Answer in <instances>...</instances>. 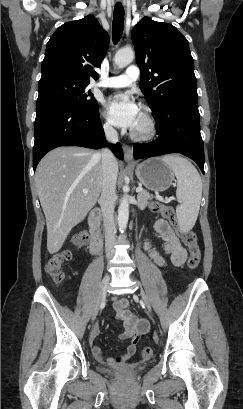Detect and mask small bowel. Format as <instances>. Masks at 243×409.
<instances>
[{"instance_id":"1","label":"small bowel","mask_w":243,"mask_h":409,"mask_svg":"<svg viewBox=\"0 0 243 409\" xmlns=\"http://www.w3.org/2000/svg\"><path fill=\"white\" fill-rule=\"evenodd\" d=\"M155 229L164 241V250L170 256V260L174 265L182 264L186 259V250L180 245V242L175 235L172 227L164 219H158L155 223ZM146 249L149 251L151 258L159 266L166 264L165 259L160 253L146 244ZM130 302L125 298H116L113 302L116 318L123 324V329L119 334L120 340H130L126 352L117 358H105L99 346L94 344V340L99 334V327L96 326L89 336V344L91 354L95 359L104 363H125L136 353L137 343L144 333L148 330L147 322L144 319H139L134 316L129 310Z\"/></svg>"}]
</instances>
